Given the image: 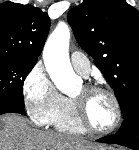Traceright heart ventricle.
Here are the masks:
<instances>
[{
    "instance_id": "e07e8e85",
    "label": "right heart ventricle",
    "mask_w": 139,
    "mask_h": 150,
    "mask_svg": "<svg viewBox=\"0 0 139 150\" xmlns=\"http://www.w3.org/2000/svg\"><path fill=\"white\" fill-rule=\"evenodd\" d=\"M50 125L62 132L73 134L86 132L77 121L72 98L68 97H63L62 103L53 115Z\"/></svg>"
}]
</instances>
